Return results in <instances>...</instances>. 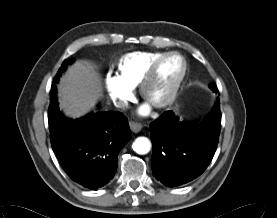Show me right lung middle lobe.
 I'll list each match as a JSON object with an SVG mask.
<instances>
[{
  "label": "right lung middle lobe",
  "instance_id": "1",
  "mask_svg": "<svg viewBox=\"0 0 277 218\" xmlns=\"http://www.w3.org/2000/svg\"><path fill=\"white\" fill-rule=\"evenodd\" d=\"M74 61L73 58L67 59L62 63V66L60 67L57 75L60 76V73L65 71L66 67L71 64ZM61 115L59 108L57 106V102H52L50 101V107H49V114H48V119L50 124H54L57 122L58 117Z\"/></svg>",
  "mask_w": 277,
  "mask_h": 218
}]
</instances>
